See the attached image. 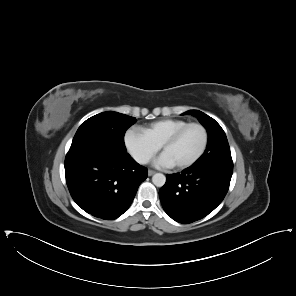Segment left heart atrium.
Returning <instances> with one entry per match:
<instances>
[{
  "instance_id": "obj_1",
  "label": "left heart atrium",
  "mask_w": 296,
  "mask_h": 296,
  "mask_svg": "<svg viewBox=\"0 0 296 296\" xmlns=\"http://www.w3.org/2000/svg\"><path fill=\"white\" fill-rule=\"evenodd\" d=\"M155 164L158 167H162V168H169L172 167L173 165H175L168 157L165 153L161 154L156 160H155Z\"/></svg>"
}]
</instances>
